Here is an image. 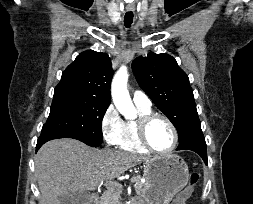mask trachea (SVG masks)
<instances>
[{"label":"trachea","instance_id":"1","mask_svg":"<svg viewBox=\"0 0 253 204\" xmlns=\"http://www.w3.org/2000/svg\"><path fill=\"white\" fill-rule=\"evenodd\" d=\"M132 22H133V12L128 11V12H126V14L124 16V24L127 28H129L131 26Z\"/></svg>","mask_w":253,"mask_h":204}]
</instances>
